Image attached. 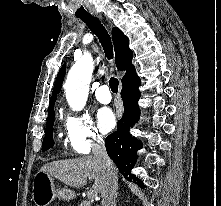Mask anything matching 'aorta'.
Wrapping results in <instances>:
<instances>
[{
  "label": "aorta",
  "mask_w": 221,
  "mask_h": 206,
  "mask_svg": "<svg viewBox=\"0 0 221 206\" xmlns=\"http://www.w3.org/2000/svg\"><path fill=\"white\" fill-rule=\"evenodd\" d=\"M93 69L92 57L84 55L68 73L65 93L67 102L74 111L82 110L86 104Z\"/></svg>",
  "instance_id": "aorta-1"
}]
</instances>
